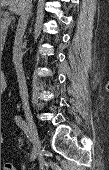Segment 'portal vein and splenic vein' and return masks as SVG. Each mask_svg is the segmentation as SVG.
I'll use <instances>...</instances> for the list:
<instances>
[{
  "label": "portal vein and splenic vein",
  "mask_w": 109,
  "mask_h": 170,
  "mask_svg": "<svg viewBox=\"0 0 109 170\" xmlns=\"http://www.w3.org/2000/svg\"><path fill=\"white\" fill-rule=\"evenodd\" d=\"M11 19L9 17H3L1 19V27L5 28L10 25Z\"/></svg>",
  "instance_id": "obj_1"
}]
</instances>
